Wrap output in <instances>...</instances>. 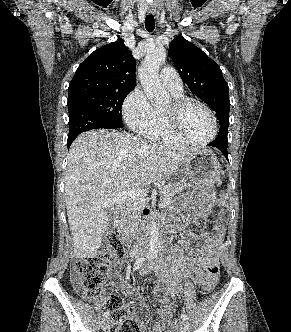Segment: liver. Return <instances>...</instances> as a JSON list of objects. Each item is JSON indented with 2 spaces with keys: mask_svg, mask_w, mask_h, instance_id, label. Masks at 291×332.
Instances as JSON below:
<instances>
[{
  "mask_svg": "<svg viewBox=\"0 0 291 332\" xmlns=\"http://www.w3.org/2000/svg\"><path fill=\"white\" fill-rule=\"evenodd\" d=\"M199 149L147 142L117 130L78 136L70 147L64 177L74 257L96 256L113 212V204L106 203L109 198L170 177L188 154Z\"/></svg>",
  "mask_w": 291,
  "mask_h": 332,
  "instance_id": "liver-1",
  "label": "liver"
}]
</instances>
